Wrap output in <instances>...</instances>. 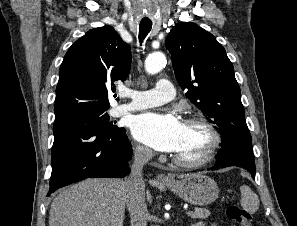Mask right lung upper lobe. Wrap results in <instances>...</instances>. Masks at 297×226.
Instances as JSON below:
<instances>
[{"instance_id":"1","label":"right lung upper lobe","mask_w":297,"mask_h":226,"mask_svg":"<svg viewBox=\"0 0 297 226\" xmlns=\"http://www.w3.org/2000/svg\"><path fill=\"white\" fill-rule=\"evenodd\" d=\"M131 67V49L111 26L94 28L66 53L56 87L55 119L109 108L108 92L124 81Z\"/></svg>"}]
</instances>
